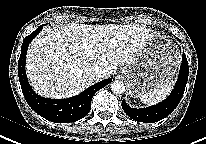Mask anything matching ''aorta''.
Listing matches in <instances>:
<instances>
[{
  "label": "aorta",
  "instance_id": "aorta-1",
  "mask_svg": "<svg viewBox=\"0 0 206 144\" xmlns=\"http://www.w3.org/2000/svg\"><path fill=\"white\" fill-rule=\"evenodd\" d=\"M111 91L115 94H122L125 91V85L122 81L115 80L111 83Z\"/></svg>",
  "mask_w": 206,
  "mask_h": 144
}]
</instances>
